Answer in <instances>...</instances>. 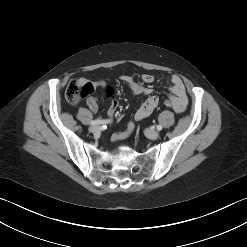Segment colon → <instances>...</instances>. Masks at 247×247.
Here are the masks:
<instances>
[{"label":"colon","mask_w":247,"mask_h":247,"mask_svg":"<svg viewBox=\"0 0 247 247\" xmlns=\"http://www.w3.org/2000/svg\"><path fill=\"white\" fill-rule=\"evenodd\" d=\"M90 84L81 85L78 81H72L68 84L65 91L66 101L70 104H77L82 98L93 92ZM164 105L167 108L174 109V103L171 99H166Z\"/></svg>","instance_id":"5ec220e1"}]
</instances>
